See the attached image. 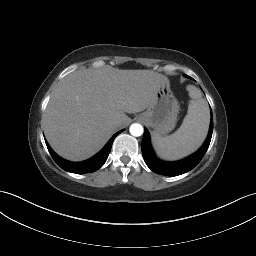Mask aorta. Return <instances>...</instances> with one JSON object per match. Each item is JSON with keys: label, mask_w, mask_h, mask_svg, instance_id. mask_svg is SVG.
Instances as JSON below:
<instances>
[{"label": "aorta", "mask_w": 256, "mask_h": 256, "mask_svg": "<svg viewBox=\"0 0 256 256\" xmlns=\"http://www.w3.org/2000/svg\"><path fill=\"white\" fill-rule=\"evenodd\" d=\"M131 135L135 136V137H139L143 134V126L141 124L138 123H134L130 126L129 129Z\"/></svg>", "instance_id": "1"}]
</instances>
